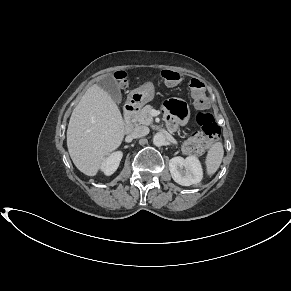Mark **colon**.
<instances>
[{"label": "colon", "mask_w": 291, "mask_h": 291, "mask_svg": "<svg viewBox=\"0 0 291 291\" xmlns=\"http://www.w3.org/2000/svg\"><path fill=\"white\" fill-rule=\"evenodd\" d=\"M160 77L162 82L168 86L176 85L183 79L182 73L172 70L161 71ZM116 79L121 84L126 81V77L122 73L116 75ZM190 87L198 109L196 121L201 130L192 133L184 140L183 149L187 154L195 155L201 153L215 143L219 136L220 129L212 115L206 111L208 99L204 92L203 84L198 80H192ZM175 101L176 100H171L170 105L172 107H174Z\"/></svg>", "instance_id": "1"}]
</instances>
